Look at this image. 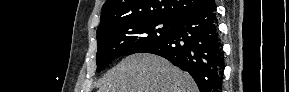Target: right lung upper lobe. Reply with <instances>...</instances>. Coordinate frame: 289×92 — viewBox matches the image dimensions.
<instances>
[{"label": "right lung upper lobe", "instance_id": "obj_1", "mask_svg": "<svg viewBox=\"0 0 289 92\" xmlns=\"http://www.w3.org/2000/svg\"><path fill=\"white\" fill-rule=\"evenodd\" d=\"M214 4V0H106L97 32L116 23L146 18L175 21Z\"/></svg>", "mask_w": 289, "mask_h": 92}]
</instances>
